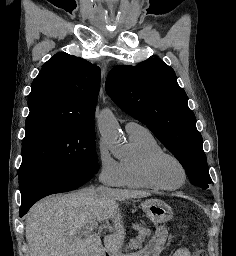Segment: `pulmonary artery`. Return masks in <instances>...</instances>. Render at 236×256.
Segmentation results:
<instances>
[{
  "label": "pulmonary artery",
  "instance_id": "1",
  "mask_svg": "<svg viewBox=\"0 0 236 256\" xmlns=\"http://www.w3.org/2000/svg\"><path fill=\"white\" fill-rule=\"evenodd\" d=\"M128 135L135 134L144 130H147L142 124L136 121H129L124 126Z\"/></svg>",
  "mask_w": 236,
  "mask_h": 256
}]
</instances>
